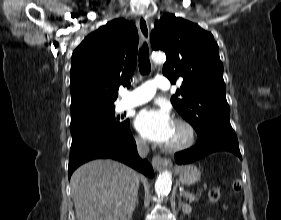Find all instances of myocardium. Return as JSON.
I'll return each instance as SVG.
<instances>
[{
	"mask_svg": "<svg viewBox=\"0 0 281 220\" xmlns=\"http://www.w3.org/2000/svg\"><path fill=\"white\" fill-rule=\"evenodd\" d=\"M175 124L181 126L185 131V139L176 144V145H165V150L169 152H178L185 150L189 147H191L196 139V130L192 123H190L188 120L184 118H177L174 122Z\"/></svg>",
	"mask_w": 281,
	"mask_h": 220,
	"instance_id": "f54148a6",
	"label": "myocardium"
}]
</instances>
